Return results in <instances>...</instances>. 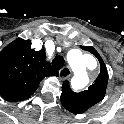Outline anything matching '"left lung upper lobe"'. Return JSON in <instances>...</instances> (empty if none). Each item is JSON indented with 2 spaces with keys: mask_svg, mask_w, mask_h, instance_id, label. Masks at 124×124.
<instances>
[{
  "mask_svg": "<svg viewBox=\"0 0 124 124\" xmlns=\"http://www.w3.org/2000/svg\"><path fill=\"white\" fill-rule=\"evenodd\" d=\"M81 48L83 50L89 51L98 58L101 69L100 74L94 81V84L90 85L88 90H85L83 92L75 93L71 90L68 81H65L63 83L61 94L62 105L65 107V109L74 114L84 113L93 105L100 102L105 96L108 83L107 70L99 53L93 47L81 46Z\"/></svg>",
  "mask_w": 124,
  "mask_h": 124,
  "instance_id": "1",
  "label": "left lung upper lobe"
}]
</instances>
